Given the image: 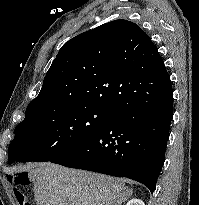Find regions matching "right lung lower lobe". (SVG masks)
Instances as JSON below:
<instances>
[{
  "mask_svg": "<svg viewBox=\"0 0 199 205\" xmlns=\"http://www.w3.org/2000/svg\"><path fill=\"white\" fill-rule=\"evenodd\" d=\"M158 77L155 89L115 107L105 128L50 162L130 178L153 193L164 163L173 116L170 76L165 73Z\"/></svg>",
  "mask_w": 199,
  "mask_h": 205,
  "instance_id": "98d812e1",
  "label": "right lung lower lobe"
}]
</instances>
